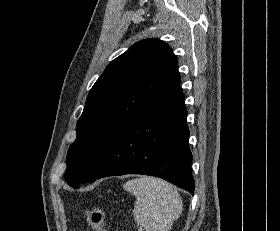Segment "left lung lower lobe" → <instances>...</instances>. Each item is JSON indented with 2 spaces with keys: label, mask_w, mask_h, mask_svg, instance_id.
I'll return each mask as SVG.
<instances>
[{
  "label": "left lung lower lobe",
  "mask_w": 280,
  "mask_h": 231,
  "mask_svg": "<svg viewBox=\"0 0 280 231\" xmlns=\"http://www.w3.org/2000/svg\"><path fill=\"white\" fill-rule=\"evenodd\" d=\"M186 118L179 85L117 136L83 183L108 176L143 174L165 179L193 195Z\"/></svg>",
  "instance_id": "0a47b994"
}]
</instances>
